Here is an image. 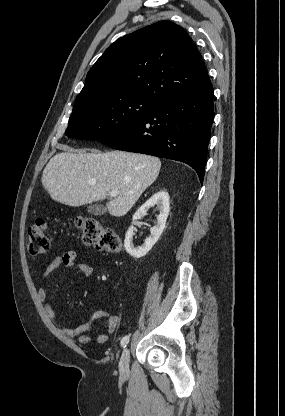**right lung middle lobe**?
<instances>
[{
	"instance_id": "right-lung-middle-lobe-1",
	"label": "right lung middle lobe",
	"mask_w": 285,
	"mask_h": 416,
	"mask_svg": "<svg viewBox=\"0 0 285 416\" xmlns=\"http://www.w3.org/2000/svg\"><path fill=\"white\" fill-rule=\"evenodd\" d=\"M157 106L144 98L126 97L73 110L65 135L100 141L130 127Z\"/></svg>"
}]
</instances>
